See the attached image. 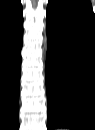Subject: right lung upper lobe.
<instances>
[{
	"mask_svg": "<svg viewBox=\"0 0 95 130\" xmlns=\"http://www.w3.org/2000/svg\"><path fill=\"white\" fill-rule=\"evenodd\" d=\"M23 24V9L20 0L0 1V35L18 29Z\"/></svg>",
	"mask_w": 95,
	"mask_h": 130,
	"instance_id": "obj_1",
	"label": "right lung upper lobe"
}]
</instances>
